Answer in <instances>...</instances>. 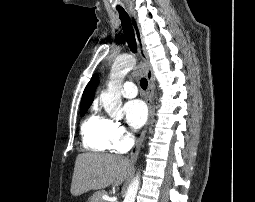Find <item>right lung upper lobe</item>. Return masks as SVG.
Segmentation results:
<instances>
[{
    "mask_svg": "<svg viewBox=\"0 0 255 202\" xmlns=\"http://www.w3.org/2000/svg\"><path fill=\"white\" fill-rule=\"evenodd\" d=\"M98 75L95 74L93 75V77L91 78L90 82L87 84L83 95H82V101H81V106H90V104L93 101V97H94V91L98 85Z\"/></svg>",
    "mask_w": 255,
    "mask_h": 202,
    "instance_id": "right-lung-upper-lobe-1",
    "label": "right lung upper lobe"
}]
</instances>
